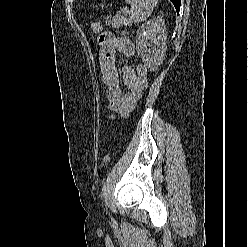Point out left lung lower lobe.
I'll list each match as a JSON object with an SVG mask.
<instances>
[{
	"instance_id": "1",
	"label": "left lung lower lobe",
	"mask_w": 248,
	"mask_h": 247,
	"mask_svg": "<svg viewBox=\"0 0 248 247\" xmlns=\"http://www.w3.org/2000/svg\"><path fill=\"white\" fill-rule=\"evenodd\" d=\"M171 2L174 4L176 11L179 12L181 0H171Z\"/></svg>"
}]
</instances>
